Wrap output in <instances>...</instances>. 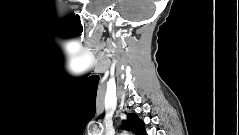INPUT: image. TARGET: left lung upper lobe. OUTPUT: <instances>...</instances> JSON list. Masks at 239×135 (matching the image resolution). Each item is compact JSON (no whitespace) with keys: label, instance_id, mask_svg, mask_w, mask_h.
<instances>
[{"label":"left lung upper lobe","instance_id":"obj_1","mask_svg":"<svg viewBox=\"0 0 239 135\" xmlns=\"http://www.w3.org/2000/svg\"><path fill=\"white\" fill-rule=\"evenodd\" d=\"M122 128L132 131L136 135H147L144 122L133 113L127 115V120L123 121Z\"/></svg>","mask_w":239,"mask_h":135}]
</instances>
